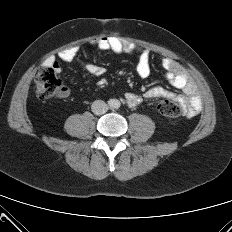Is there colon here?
Wrapping results in <instances>:
<instances>
[{"label":"colon","mask_w":232,"mask_h":232,"mask_svg":"<svg viewBox=\"0 0 232 232\" xmlns=\"http://www.w3.org/2000/svg\"><path fill=\"white\" fill-rule=\"evenodd\" d=\"M62 88L54 67L44 65L38 68L35 74V94L40 99H48L60 93ZM157 111L168 118L179 117L182 106L175 100L162 99L156 104Z\"/></svg>","instance_id":"1"}]
</instances>
